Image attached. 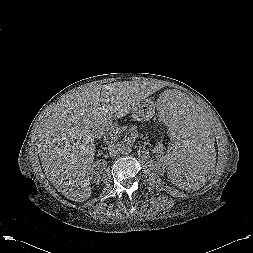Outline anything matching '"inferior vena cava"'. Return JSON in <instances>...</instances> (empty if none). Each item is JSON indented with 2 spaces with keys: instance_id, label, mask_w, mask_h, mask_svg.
<instances>
[{
  "instance_id": "602c4592",
  "label": "inferior vena cava",
  "mask_w": 253,
  "mask_h": 253,
  "mask_svg": "<svg viewBox=\"0 0 253 253\" xmlns=\"http://www.w3.org/2000/svg\"><path fill=\"white\" fill-rule=\"evenodd\" d=\"M118 153H119L118 144H115L109 147L110 156H116L118 155Z\"/></svg>"
}]
</instances>
